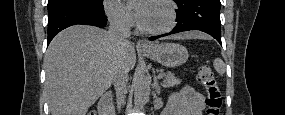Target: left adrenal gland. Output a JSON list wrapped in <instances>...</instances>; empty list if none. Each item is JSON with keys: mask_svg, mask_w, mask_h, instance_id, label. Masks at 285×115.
Returning <instances> with one entry per match:
<instances>
[{"mask_svg": "<svg viewBox=\"0 0 285 115\" xmlns=\"http://www.w3.org/2000/svg\"><path fill=\"white\" fill-rule=\"evenodd\" d=\"M154 86H155L156 92L158 94H160V86H159L156 78H154Z\"/></svg>", "mask_w": 285, "mask_h": 115, "instance_id": "a2214340", "label": "left adrenal gland"}]
</instances>
